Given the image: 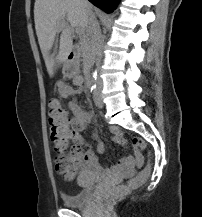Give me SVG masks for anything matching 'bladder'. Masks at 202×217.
I'll return each instance as SVG.
<instances>
[{
	"instance_id": "bladder-1",
	"label": "bladder",
	"mask_w": 202,
	"mask_h": 217,
	"mask_svg": "<svg viewBox=\"0 0 202 217\" xmlns=\"http://www.w3.org/2000/svg\"><path fill=\"white\" fill-rule=\"evenodd\" d=\"M97 173L91 170H83L77 179L80 190L74 195H62L63 204L67 207L84 206L92 196V188L97 182Z\"/></svg>"
}]
</instances>
